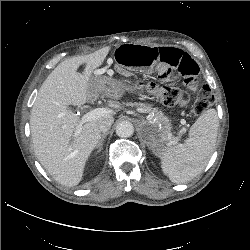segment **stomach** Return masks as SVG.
I'll list each match as a JSON object with an SVG mask.
<instances>
[{
  "mask_svg": "<svg viewBox=\"0 0 250 250\" xmlns=\"http://www.w3.org/2000/svg\"><path fill=\"white\" fill-rule=\"evenodd\" d=\"M130 44V43H125ZM89 97H96L97 95H106L109 97H119L121 95V88L117 82L109 77H96L88 90Z\"/></svg>",
  "mask_w": 250,
  "mask_h": 250,
  "instance_id": "obj_1",
  "label": "stomach"
}]
</instances>
